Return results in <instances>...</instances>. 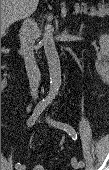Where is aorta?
Returning <instances> with one entry per match:
<instances>
[{"label":"aorta","mask_w":109,"mask_h":170,"mask_svg":"<svg viewBox=\"0 0 109 170\" xmlns=\"http://www.w3.org/2000/svg\"><path fill=\"white\" fill-rule=\"evenodd\" d=\"M53 31L54 29L51 25H45L42 40L49 67L50 88L46 97V101L49 103L55 99L61 85V66L53 38Z\"/></svg>","instance_id":"obj_1"}]
</instances>
